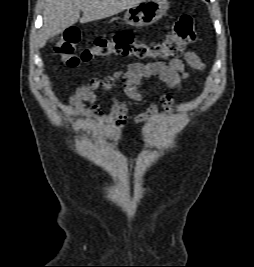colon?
Here are the masks:
<instances>
[{"label": "colon", "instance_id": "obj_1", "mask_svg": "<svg viewBox=\"0 0 254 267\" xmlns=\"http://www.w3.org/2000/svg\"><path fill=\"white\" fill-rule=\"evenodd\" d=\"M195 40L194 18L186 14L173 22L166 37L158 43L147 44L138 41L130 33H118L110 38H97L91 47L77 53L80 32L71 27L64 31L55 46V52L68 67H77L80 63L109 55L163 60L181 55Z\"/></svg>", "mask_w": 254, "mask_h": 267}]
</instances>
